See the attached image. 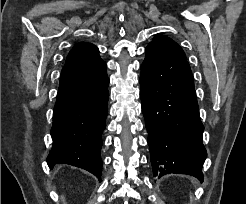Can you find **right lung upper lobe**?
<instances>
[{"label":"right lung upper lobe","mask_w":246,"mask_h":204,"mask_svg":"<svg viewBox=\"0 0 246 204\" xmlns=\"http://www.w3.org/2000/svg\"><path fill=\"white\" fill-rule=\"evenodd\" d=\"M104 63L99 57L98 48L90 43L76 44L67 56L66 64Z\"/></svg>","instance_id":"obj_1"}]
</instances>
